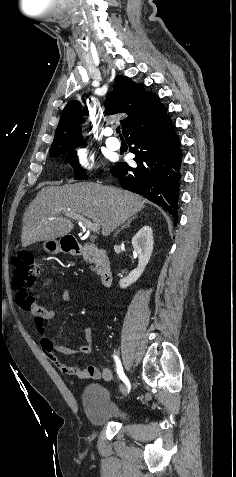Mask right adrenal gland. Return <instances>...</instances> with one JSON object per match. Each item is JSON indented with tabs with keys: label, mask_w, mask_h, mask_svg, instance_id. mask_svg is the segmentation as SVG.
<instances>
[{
	"label": "right adrenal gland",
	"mask_w": 236,
	"mask_h": 477,
	"mask_svg": "<svg viewBox=\"0 0 236 477\" xmlns=\"http://www.w3.org/2000/svg\"><path fill=\"white\" fill-rule=\"evenodd\" d=\"M137 216H134L132 218H130L119 230H117V232L115 233L114 236H116L121 230H123L125 227L129 226V224L134 220L136 219Z\"/></svg>",
	"instance_id": "obj_1"
}]
</instances>
